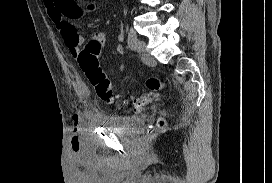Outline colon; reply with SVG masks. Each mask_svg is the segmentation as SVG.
I'll return each mask as SVG.
<instances>
[{
  "label": "colon",
  "instance_id": "1",
  "mask_svg": "<svg viewBox=\"0 0 272 183\" xmlns=\"http://www.w3.org/2000/svg\"><path fill=\"white\" fill-rule=\"evenodd\" d=\"M102 50V44L96 40H90L81 49L78 55V62L82 71L93 85L98 97L108 103L115 101L113 87L111 82L103 73L99 64V55ZM149 92L141 96L132 98L127 104L131 111L139 112L151 100L154 92L162 87V82L156 77H150L146 81Z\"/></svg>",
  "mask_w": 272,
  "mask_h": 183
}]
</instances>
